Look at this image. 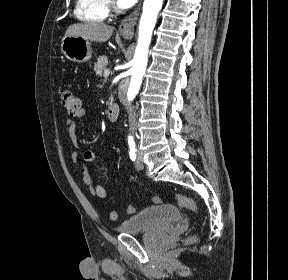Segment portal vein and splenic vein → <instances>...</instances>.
I'll return each instance as SVG.
<instances>
[{
  "label": "portal vein and splenic vein",
  "mask_w": 288,
  "mask_h": 280,
  "mask_svg": "<svg viewBox=\"0 0 288 280\" xmlns=\"http://www.w3.org/2000/svg\"><path fill=\"white\" fill-rule=\"evenodd\" d=\"M109 74H110V71L108 69H106L104 71V77L107 78L109 76Z\"/></svg>",
  "instance_id": "1"
}]
</instances>
